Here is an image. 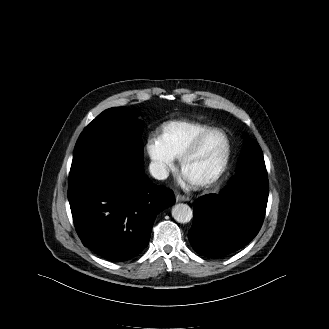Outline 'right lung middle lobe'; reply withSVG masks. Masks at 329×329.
I'll return each mask as SVG.
<instances>
[{
  "mask_svg": "<svg viewBox=\"0 0 329 329\" xmlns=\"http://www.w3.org/2000/svg\"><path fill=\"white\" fill-rule=\"evenodd\" d=\"M121 107L103 111L80 134L70 174L94 162H113L130 170L143 169V122Z\"/></svg>",
  "mask_w": 329,
  "mask_h": 329,
  "instance_id": "right-lung-middle-lobe-1",
  "label": "right lung middle lobe"
}]
</instances>
